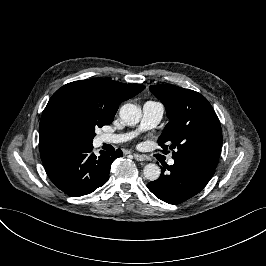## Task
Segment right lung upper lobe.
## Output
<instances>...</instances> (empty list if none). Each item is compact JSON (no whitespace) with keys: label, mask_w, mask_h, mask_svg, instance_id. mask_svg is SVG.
Listing matches in <instances>:
<instances>
[{"label":"right lung upper lobe","mask_w":266,"mask_h":266,"mask_svg":"<svg viewBox=\"0 0 266 266\" xmlns=\"http://www.w3.org/2000/svg\"><path fill=\"white\" fill-rule=\"evenodd\" d=\"M144 88L141 84H125L92 78L74 81L58 89L50 98L40 120L39 148L43 164H46L61 149L72 145L58 116V105L66 95L74 91L92 92L98 96L102 109L111 116H115L120 103L134 97Z\"/></svg>","instance_id":"1"}]
</instances>
